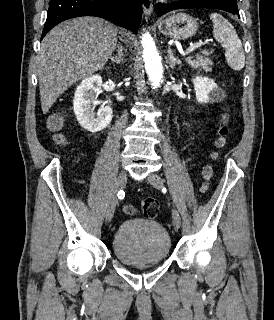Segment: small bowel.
Wrapping results in <instances>:
<instances>
[{
  "instance_id": "c3829d8e",
  "label": "small bowel",
  "mask_w": 274,
  "mask_h": 320,
  "mask_svg": "<svg viewBox=\"0 0 274 320\" xmlns=\"http://www.w3.org/2000/svg\"><path fill=\"white\" fill-rule=\"evenodd\" d=\"M187 129H188L189 133L192 134V131H191V128H190L189 124H187Z\"/></svg>"
}]
</instances>
